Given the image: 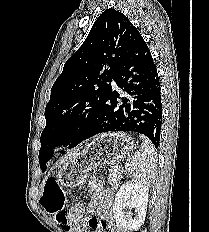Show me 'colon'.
Instances as JSON below:
<instances>
[{
  "label": "colon",
  "instance_id": "5ec220e1",
  "mask_svg": "<svg viewBox=\"0 0 209 232\" xmlns=\"http://www.w3.org/2000/svg\"><path fill=\"white\" fill-rule=\"evenodd\" d=\"M40 202L45 210L59 221V226H68V221H65L64 215L65 193L55 179L49 178L44 182Z\"/></svg>",
  "mask_w": 209,
  "mask_h": 232
}]
</instances>
